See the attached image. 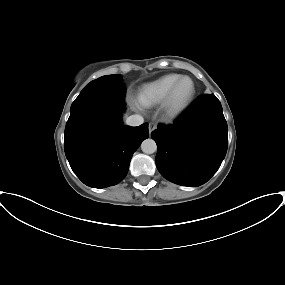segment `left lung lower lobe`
I'll list each match as a JSON object with an SVG mask.
<instances>
[{
	"mask_svg": "<svg viewBox=\"0 0 285 285\" xmlns=\"http://www.w3.org/2000/svg\"><path fill=\"white\" fill-rule=\"evenodd\" d=\"M156 166L178 185L196 187L219 169L228 146V128L214 94L200 96L173 125H158Z\"/></svg>",
	"mask_w": 285,
	"mask_h": 285,
	"instance_id": "0a47b994",
	"label": "left lung lower lobe"
}]
</instances>
